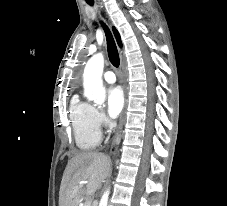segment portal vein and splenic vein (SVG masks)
Here are the masks:
<instances>
[{
    "label": "portal vein and splenic vein",
    "mask_w": 227,
    "mask_h": 206,
    "mask_svg": "<svg viewBox=\"0 0 227 206\" xmlns=\"http://www.w3.org/2000/svg\"><path fill=\"white\" fill-rule=\"evenodd\" d=\"M85 206H90V203H89V202H88V203H86V204H85Z\"/></svg>",
    "instance_id": "obj_1"
}]
</instances>
